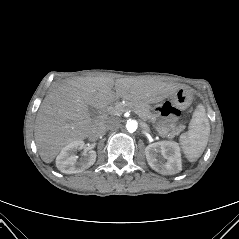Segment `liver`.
<instances>
[{
    "label": "liver",
    "instance_id": "liver-1",
    "mask_svg": "<svg viewBox=\"0 0 239 239\" xmlns=\"http://www.w3.org/2000/svg\"><path fill=\"white\" fill-rule=\"evenodd\" d=\"M166 84L143 77L116 80L110 76H77L54 82L36 115L34 138L45 163H51L68 144L90 136L98 122L89 106L104 110L116 99L148 103L163 94Z\"/></svg>",
    "mask_w": 239,
    "mask_h": 239
}]
</instances>
